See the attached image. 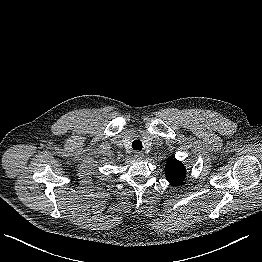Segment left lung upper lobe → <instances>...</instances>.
I'll list each match as a JSON object with an SVG mask.
<instances>
[{"label":"left lung upper lobe","mask_w":262,"mask_h":262,"mask_svg":"<svg viewBox=\"0 0 262 262\" xmlns=\"http://www.w3.org/2000/svg\"><path fill=\"white\" fill-rule=\"evenodd\" d=\"M165 174L172 185H180L186 177V168L180 161L169 159L165 165Z\"/></svg>","instance_id":"obj_1"}]
</instances>
